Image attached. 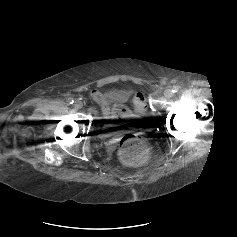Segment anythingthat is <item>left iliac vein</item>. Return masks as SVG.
Returning a JSON list of instances; mask_svg holds the SVG:
<instances>
[{
	"instance_id": "1",
	"label": "left iliac vein",
	"mask_w": 237,
	"mask_h": 237,
	"mask_svg": "<svg viewBox=\"0 0 237 237\" xmlns=\"http://www.w3.org/2000/svg\"><path fill=\"white\" fill-rule=\"evenodd\" d=\"M164 96L167 97V98L172 97V96H173L172 90H171V89H166V90L164 91Z\"/></svg>"
}]
</instances>
